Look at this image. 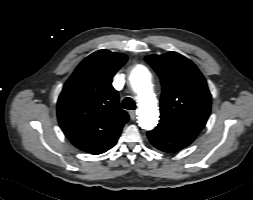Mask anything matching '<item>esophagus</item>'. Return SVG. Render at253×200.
Masks as SVG:
<instances>
[{
    "mask_svg": "<svg viewBox=\"0 0 253 200\" xmlns=\"http://www.w3.org/2000/svg\"><path fill=\"white\" fill-rule=\"evenodd\" d=\"M129 115L132 120H135L137 113L135 111H130Z\"/></svg>",
    "mask_w": 253,
    "mask_h": 200,
    "instance_id": "34e87169",
    "label": "esophagus"
}]
</instances>
